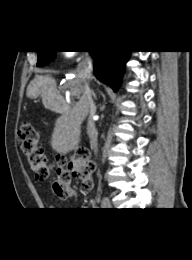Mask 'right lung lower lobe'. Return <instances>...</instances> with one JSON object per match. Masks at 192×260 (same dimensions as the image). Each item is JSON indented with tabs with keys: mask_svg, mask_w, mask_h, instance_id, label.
<instances>
[{
	"mask_svg": "<svg viewBox=\"0 0 192 260\" xmlns=\"http://www.w3.org/2000/svg\"><path fill=\"white\" fill-rule=\"evenodd\" d=\"M94 60V75L116 91L131 51H89Z\"/></svg>",
	"mask_w": 192,
	"mask_h": 260,
	"instance_id": "right-lung-lower-lobe-1",
	"label": "right lung lower lobe"
}]
</instances>
